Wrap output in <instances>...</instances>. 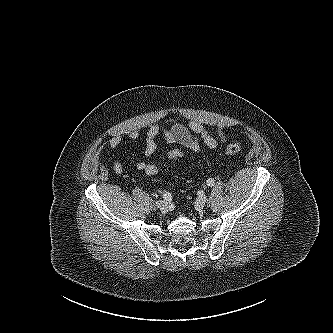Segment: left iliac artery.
Segmentation results:
<instances>
[{
    "label": "left iliac artery",
    "mask_w": 333,
    "mask_h": 333,
    "mask_svg": "<svg viewBox=\"0 0 333 333\" xmlns=\"http://www.w3.org/2000/svg\"><path fill=\"white\" fill-rule=\"evenodd\" d=\"M207 185L210 186V187L214 186V185H215V180L212 179V178H209V179L207 180Z\"/></svg>",
    "instance_id": "44dca946"
}]
</instances>
